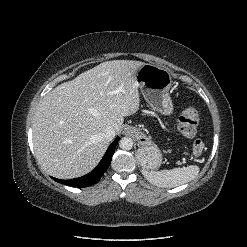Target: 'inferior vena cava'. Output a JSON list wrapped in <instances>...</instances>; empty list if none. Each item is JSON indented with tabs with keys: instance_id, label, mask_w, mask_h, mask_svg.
I'll return each instance as SVG.
<instances>
[{
	"instance_id": "602c4592",
	"label": "inferior vena cava",
	"mask_w": 247,
	"mask_h": 247,
	"mask_svg": "<svg viewBox=\"0 0 247 247\" xmlns=\"http://www.w3.org/2000/svg\"><path fill=\"white\" fill-rule=\"evenodd\" d=\"M102 137L107 141L113 140L115 137V130L112 127H107L103 130Z\"/></svg>"
}]
</instances>
